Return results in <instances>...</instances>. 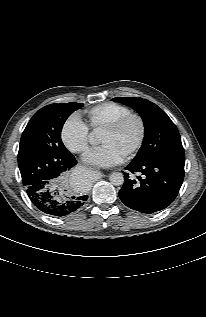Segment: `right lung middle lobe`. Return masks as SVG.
Instances as JSON below:
<instances>
[{
	"label": "right lung middle lobe",
	"mask_w": 206,
	"mask_h": 317,
	"mask_svg": "<svg viewBox=\"0 0 206 317\" xmlns=\"http://www.w3.org/2000/svg\"><path fill=\"white\" fill-rule=\"evenodd\" d=\"M82 106L81 103L51 104L31 118L19 145L18 166L22 181L53 172L61 164L60 160L72 156L62 143L61 130L70 114ZM68 171L58 175L56 185H65Z\"/></svg>",
	"instance_id": "1"
}]
</instances>
